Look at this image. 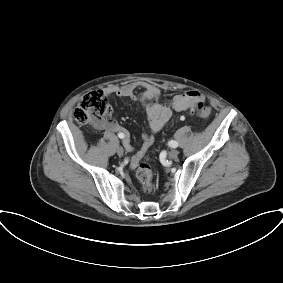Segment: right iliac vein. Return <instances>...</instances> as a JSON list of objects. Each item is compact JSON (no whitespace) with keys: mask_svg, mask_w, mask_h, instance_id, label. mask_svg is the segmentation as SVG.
<instances>
[{"mask_svg":"<svg viewBox=\"0 0 283 283\" xmlns=\"http://www.w3.org/2000/svg\"><path fill=\"white\" fill-rule=\"evenodd\" d=\"M117 154H118V156H123V154H124V149L122 148V147H118L117 148Z\"/></svg>","mask_w":283,"mask_h":283,"instance_id":"1","label":"right iliac vein"}]
</instances>
